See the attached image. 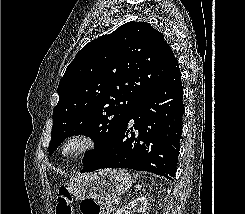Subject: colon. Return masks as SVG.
<instances>
[{
  "label": "colon",
  "instance_id": "5ec220e1",
  "mask_svg": "<svg viewBox=\"0 0 245 214\" xmlns=\"http://www.w3.org/2000/svg\"><path fill=\"white\" fill-rule=\"evenodd\" d=\"M81 214H108L109 209L101 206L93 199H84L80 204ZM56 214H72V196L70 192L63 188L59 190L56 207Z\"/></svg>",
  "mask_w": 245,
  "mask_h": 214
}]
</instances>
